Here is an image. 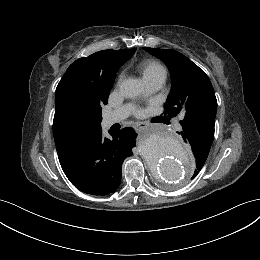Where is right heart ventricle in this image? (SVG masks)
<instances>
[{"mask_svg": "<svg viewBox=\"0 0 260 260\" xmlns=\"http://www.w3.org/2000/svg\"><path fill=\"white\" fill-rule=\"evenodd\" d=\"M141 71L145 81L159 75H165L163 67L154 60L144 62L141 66Z\"/></svg>", "mask_w": 260, "mask_h": 260, "instance_id": "obj_1", "label": "right heart ventricle"}]
</instances>
